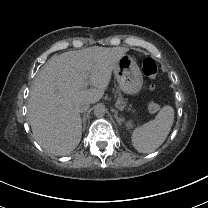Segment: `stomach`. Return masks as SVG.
I'll use <instances>...</instances> for the list:
<instances>
[{
  "mask_svg": "<svg viewBox=\"0 0 208 208\" xmlns=\"http://www.w3.org/2000/svg\"><path fill=\"white\" fill-rule=\"evenodd\" d=\"M120 89L126 94H137L143 85V76L136 61L123 54L113 69Z\"/></svg>",
  "mask_w": 208,
  "mask_h": 208,
  "instance_id": "0dacf381",
  "label": "stomach"
}]
</instances>
